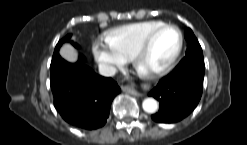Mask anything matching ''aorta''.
<instances>
[{"mask_svg": "<svg viewBox=\"0 0 247 145\" xmlns=\"http://www.w3.org/2000/svg\"><path fill=\"white\" fill-rule=\"evenodd\" d=\"M142 107L147 113H155L158 109V102L153 98H146L142 103Z\"/></svg>", "mask_w": 247, "mask_h": 145, "instance_id": "aorta-1", "label": "aorta"}]
</instances>
